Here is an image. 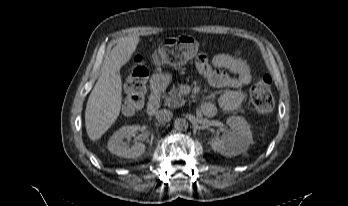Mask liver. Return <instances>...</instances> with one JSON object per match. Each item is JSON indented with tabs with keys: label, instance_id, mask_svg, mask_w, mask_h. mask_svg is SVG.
Returning <instances> with one entry per match:
<instances>
[{
	"label": "liver",
	"instance_id": "1",
	"mask_svg": "<svg viewBox=\"0 0 348 206\" xmlns=\"http://www.w3.org/2000/svg\"><path fill=\"white\" fill-rule=\"evenodd\" d=\"M139 40L138 36L121 38L104 58L99 78L89 95L85 110L86 131L92 141L100 139L120 114V69L130 60Z\"/></svg>",
	"mask_w": 348,
	"mask_h": 206
}]
</instances>
